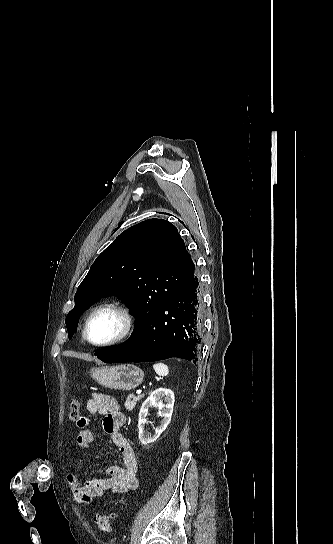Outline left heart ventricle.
<instances>
[{"label":"left heart ventricle","instance_id":"b2bd125f","mask_svg":"<svg viewBox=\"0 0 333 544\" xmlns=\"http://www.w3.org/2000/svg\"><path fill=\"white\" fill-rule=\"evenodd\" d=\"M121 328L120 315L111 309H105L92 318L88 335L93 342H105L117 336Z\"/></svg>","mask_w":333,"mask_h":544}]
</instances>
